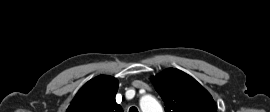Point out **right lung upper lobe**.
Returning a JSON list of instances; mask_svg holds the SVG:
<instances>
[{"label":"right lung upper lobe","instance_id":"1","mask_svg":"<svg viewBox=\"0 0 270 112\" xmlns=\"http://www.w3.org/2000/svg\"><path fill=\"white\" fill-rule=\"evenodd\" d=\"M117 90V79L97 76L79 90L66 112H123L115 100Z\"/></svg>","mask_w":270,"mask_h":112}]
</instances>
